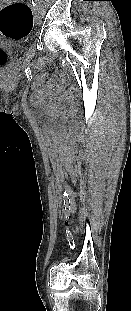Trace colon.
<instances>
[{
	"label": "colon",
	"instance_id": "colon-1",
	"mask_svg": "<svg viewBox=\"0 0 131 311\" xmlns=\"http://www.w3.org/2000/svg\"><path fill=\"white\" fill-rule=\"evenodd\" d=\"M33 25V14L26 3L13 1L0 8V34L2 36L21 40L29 35ZM7 61V55L0 52V64L4 65Z\"/></svg>",
	"mask_w": 131,
	"mask_h": 311
}]
</instances>
